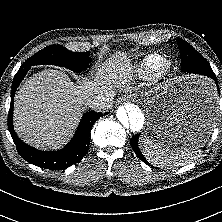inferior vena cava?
Segmentation results:
<instances>
[{
    "mask_svg": "<svg viewBox=\"0 0 222 222\" xmlns=\"http://www.w3.org/2000/svg\"><path fill=\"white\" fill-rule=\"evenodd\" d=\"M113 96L111 94H97L89 98L86 105L95 111L105 112L112 107Z\"/></svg>",
    "mask_w": 222,
    "mask_h": 222,
    "instance_id": "obj_1",
    "label": "inferior vena cava"
}]
</instances>
